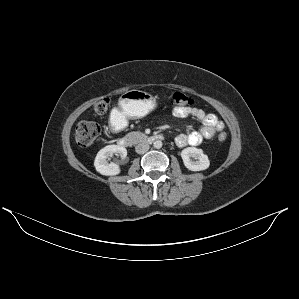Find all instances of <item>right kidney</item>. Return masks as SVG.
<instances>
[{"mask_svg":"<svg viewBox=\"0 0 299 299\" xmlns=\"http://www.w3.org/2000/svg\"><path fill=\"white\" fill-rule=\"evenodd\" d=\"M114 153L120 155L122 158L127 156V150L123 146L119 145H107L102 148L98 153L94 161V166L97 172L106 176H113L120 173V166L116 163H108L107 159Z\"/></svg>","mask_w":299,"mask_h":299,"instance_id":"right-kidney-1","label":"right kidney"}]
</instances>
